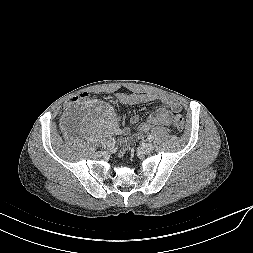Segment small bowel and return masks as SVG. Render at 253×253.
<instances>
[{
    "mask_svg": "<svg viewBox=\"0 0 253 253\" xmlns=\"http://www.w3.org/2000/svg\"><path fill=\"white\" fill-rule=\"evenodd\" d=\"M118 100L122 104L137 105L141 103H149L156 100H161L162 106L156 111L151 113L144 122L138 126V130L135 133V139H141L149 130L158 126H166L170 123L172 113H178L181 110V104L178 100L170 97H159L154 94H126L121 93L117 96ZM139 121L137 115H132L130 118L131 124H136ZM116 127V126H114ZM123 137L119 140L120 154H123L128 146L129 127L126 126L123 129Z\"/></svg>",
    "mask_w": 253,
    "mask_h": 253,
    "instance_id": "c3829d8e",
    "label": "small bowel"
}]
</instances>
